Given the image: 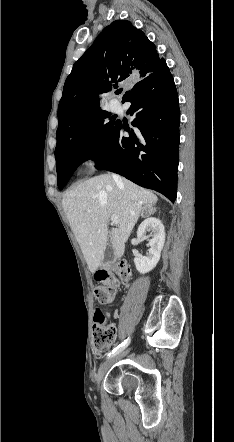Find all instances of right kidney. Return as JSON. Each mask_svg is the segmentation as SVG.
Returning a JSON list of instances; mask_svg holds the SVG:
<instances>
[{
    "label": "right kidney",
    "instance_id": "ca27d5eb",
    "mask_svg": "<svg viewBox=\"0 0 234 442\" xmlns=\"http://www.w3.org/2000/svg\"><path fill=\"white\" fill-rule=\"evenodd\" d=\"M147 232H152L153 236L149 240L150 249L146 256H136L134 258L135 267L138 272L145 274L156 267L160 260L161 251L165 243V229L160 219L155 217L146 218L138 227L137 237L146 240Z\"/></svg>",
    "mask_w": 234,
    "mask_h": 442
}]
</instances>
